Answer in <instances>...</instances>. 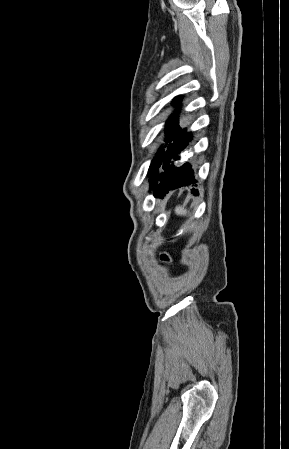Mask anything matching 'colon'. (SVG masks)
I'll use <instances>...</instances> for the list:
<instances>
[{"label":"colon","instance_id":"1","mask_svg":"<svg viewBox=\"0 0 289 449\" xmlns=\"http://www.w3.org/2000/svg\"><path fill=\"white\" fill-rule=\"evenodd\" d=\"M160 258H161V260H162L163 262H165V263L171 262V257H170V255H169L168 253H166V252L162 253L161 256H160Z\"/></svg>","mask_w":289,"mask_h":449}]
</instances>
